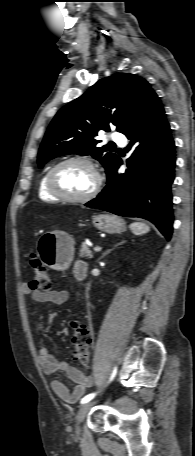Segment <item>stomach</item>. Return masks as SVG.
I'll return each instance as SVG.
<instances>
[{
	"label": "stomach",
	"instance_id": "1",
	"mask_svg": "<svg viewBox=\"0 0 195 456\" xmlns=\"http://www.w3.org/2000/svg\"><path fill=\"white\" fill-rule=\"evenodd\" d=\"M92 222L98 230L110 234L121 233L126 228L124 220L115 215L97 214ZM48 234L43 235L38 244V253L42 262L52 269L68 268L74 254L72 237L58 230Z\"/></svg>",
	"mask_w": 195,
	"mask_h": 456
}]
</instances>
